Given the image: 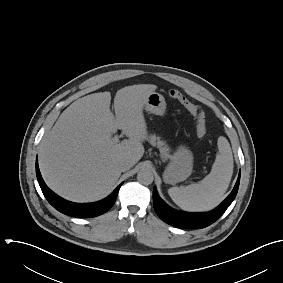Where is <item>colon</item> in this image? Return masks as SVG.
<instances>
[{"instance_id":"obj_1","label":"colon","mask_w":283,"mask_h":283,"mask_svg":"<svg viewBox=\"0 0 283 283\" xmlns=\"http://www.w3.org/2000/svg\"><path fill=\"white\" fill-rule=\"evenodd\" d=\"M169 94L173 99L179 101L194 117L198 136L205 137L207 133V127L204 112L197 105L191 102L181 91L173 89Z\"/></svg>"}]
</instances>
